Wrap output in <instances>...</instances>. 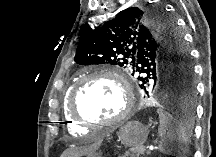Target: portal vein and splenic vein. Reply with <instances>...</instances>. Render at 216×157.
Listing matches in <instances>:
<instances>
[{"label": "portal vein and splenic vein", "mask_w": 216, "mask_h": 157, "mask_svg": "<svg viewBox=\"0 0 216 157\" xmlns=\"http://www.w3.org/2000/svg\"><path fill=\"white\" fill-rule=\"evenodd\" d=\"M146 149H147V152H150L151 150H153V146H147Z\"/></svg>", "instance_id": "18ae733b"}]
</instances>
